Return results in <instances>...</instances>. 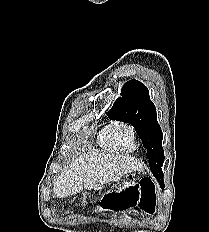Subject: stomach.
I'll list each match as a JSON object with an SVG mask.
<instances>
[{
  "label": "stomach",
  "mask_w": 209,
  "mask_h": 232,
  "mask_svg": "<svg viewBox=\"0 0 209 232\" xmlns=\"http://www.w3.org/2000/svg\"><path fill=\"white\" fill-rule=\"evenodd\" d=\"M135 184H136V179L133 178V179H130V180H127V181H124L123 183H121L119 188L124 189L128 186L135 185Z\"/></svg>",
  "instance_id": "obj_1"
}]
</instances>
